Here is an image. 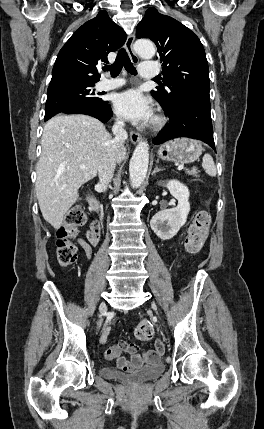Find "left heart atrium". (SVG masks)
I'll return each mask as SVG.
<instances>
[{"label": "left heart atrium", "mask_w": 264, "mask_h": 429, "mask_svg": "<svg viewBox=\"0 0 264 429\" xmlns=\"http://www.w3.org/2000/svg\"><path fill=\"white\" fill-rule=\"evenodd\" d=\"M114 110L120 117L136 123L148 121L153 113L151 103L134 89L116 95Z\"/></svg>", "instance_id": "1"}]
</instances>
